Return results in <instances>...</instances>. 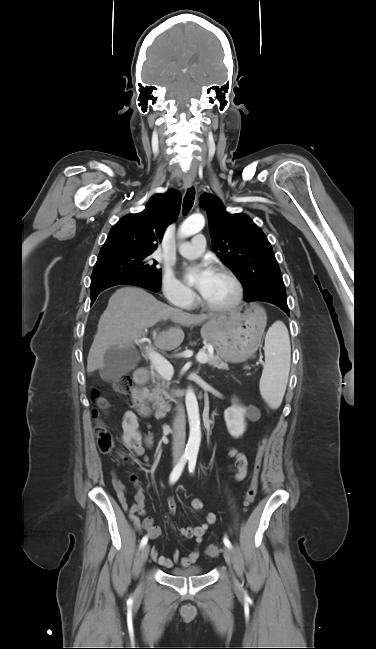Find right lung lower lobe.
Listing matches in <instances>:
<instances>
[{"instance_id": "right-lung-lower-lobe-1", "label": "right lung lower lobe", "mask_w": 376, "mask_h": 649, "mask_svg": "<svg viewBox=\"0 0 376 649\" xmlns=\"http://www.w3.org/2000/svg\"><path fill=\"white\" fill-rule=\"evenodd\" d=\"M120 284L139 286L151 290L153 292H158L161 287V285L142 277L109 275L97 280H91V285H90L91 304L94 303L96 297L101 291L109 287L120 285Z\"/></svg>"}]
</instances>
